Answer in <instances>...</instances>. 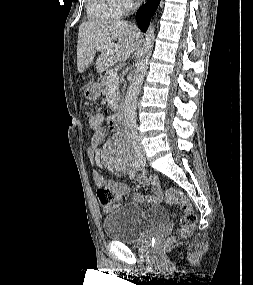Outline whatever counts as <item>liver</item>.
<instances>
[{"instance_id": "obj_1", "label": "liver", "mask_w": 253, "mask_h": 285, "mask_svg": "<svg viewBox=\"0 0 253 285\" xmlns=\"http://www.w3.org/2000/svg\"><path fill=\"white\" fill-rule=\"evenodd\" d=\"M138 35L137 29L125 21L82 23L78 33L77 68L83 79L91 65L99 74L119 61H126L136 48ZM102 45L108 47L98 50ZM97 51L101 53L95 60Z\"/></svg>"}]
</instances>
